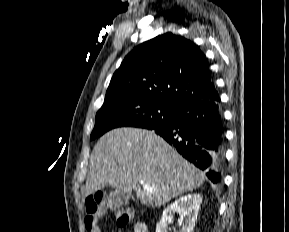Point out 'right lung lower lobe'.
<instances>
[{"instance_id": "right-lung-lower-lobe-1", "label": "right lung lower lobe", "mask_w": 289, "mask_h": 232, "mask_svg": "<svg viewBox=\"0 0 289 232\" xmlns=\"http://www.w3.org/2000/svg\"><path fill=\"white\" fill-rule=\"evenodd\" d=\"M219 96L179 106L175 118L153 128L170 145L206 176L218 183L224 163L223 120Z\"/></svg>"}]
</instances>
